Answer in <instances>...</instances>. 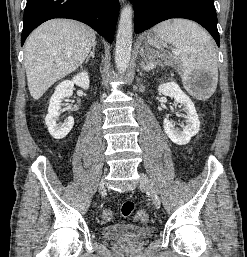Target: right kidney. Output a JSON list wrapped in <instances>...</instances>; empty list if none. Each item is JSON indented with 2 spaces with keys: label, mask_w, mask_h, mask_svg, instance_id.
I'll return each instance as SVG.
<instances>
[{
  "label": "right kidney",
  "mask_w": 247,
  "mask_h": 257,
  "mask_svg": "<svg viewBox=\"0 0 247 257\" xmlns=\"http://www.w3.org/2000/svg\"><path fill=\"white\" fill-rule=\"evenodd\" d=\"M89 76L86 71H83L73 77L72 80H65L55 88L54 94L50 98L48 114L45 118L46 126L50 135L54 139H63L68 135L74 125V118L68 117L67 120L62 123H57L61 102L64 98L70 97L73 94L74 84L87 90L89 88Z\"/></svg>",
  "instance_id": "right-kidney-1"
}]
</instances>
